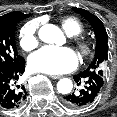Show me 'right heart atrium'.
<instances>
[{"label":"right heart atrium","mask_w":117,"mask_h":117,"mask_svg":"<svg viewBox=\"0 0 117 117\" xmlns=\"http://www.w3.org/2000/svg\"><path fill=\"white\" fill-rule=\"evenodd\" d=\"M37 20L27 22L20 30L19 39L21 47L26 51L35 49L39 44Z\"/></svg>","instance_id":"obj_1"}]
</instances>
